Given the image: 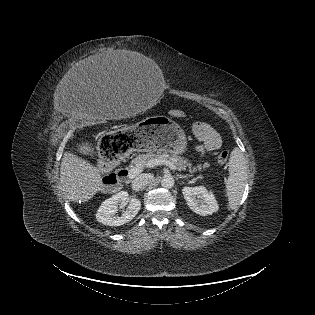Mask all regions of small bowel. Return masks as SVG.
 I'll list each match as a JSON object with an SVG mask.
<instances>
[{
  "label": "small bowel",
  "mask_w": 315,
  "mask_h": 315,
  "mask_svg": "<svg viewBox=\"0 0 315 315\" xmlns=\"http://www.w3.org/2000/svg\"><path fill=\"white\" fill-rule=\"evenodd\" d=\"M193 131L195 136L202 143L197 148L200 153H205L220 148L221 137L219 133L209 124L204 122L195 123L193 126Z\"/></svg>",
  "instance_id": "small-bowel-1"
}]
</instances>
